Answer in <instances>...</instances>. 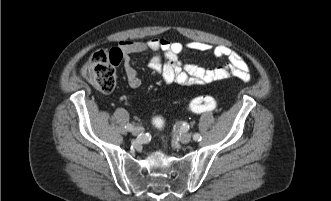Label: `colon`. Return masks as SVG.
I'll return each instance as SVG.
<instances>
[{"mask_svg":"<svg viewBox=\"0 0 331 201\" xmlns=\"http://www.w3.org/2000/svg\"><path fill=\"white\" fill-rule=\"evenodd\" d=\"M114 59L111 54L97 51L92 54L89 61L82 69L83 77L98 91L110 93L116 84ZM219 102L217 98L206 95L194 98L188 105V109L194 113L212 112L217 110ZM155 126L161 128L163 120L156 118Z\"/></svg>","mask_w":331,"mask_h":201,"instance_id":"colon-1","label":"colon"}]
</instances>
